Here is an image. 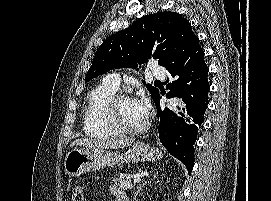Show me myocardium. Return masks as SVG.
Wrapping results in <instances>:
<instances>
[{
	"label": "myocardium",
	"instance_id": "1",
	"mask_svg": "<svg viewBox=\"0 0 271 201\" xmlns=\"http://www.w3.org/2000/svg\"><path fill=\"white\" fill-rule=\"evenodd\" d=\"M128 98V95L122 92L114 93L113 96L110 98L107 104V114L110 118V121L115 126V128L121 133V134H139L144 132L148 126L149 121L145 119L143 124L137 127L129 126L121 121L119 116L116 113V106L117 104L123 100Z\"/></svg>",
	"mask_w": 271,
	"mask_h": 201
}]
</instances>
